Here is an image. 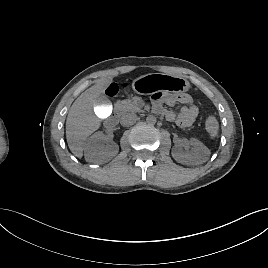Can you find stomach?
I'll return each instance as SVG.
<instances>
[{
    "label": "stomach",
    "instance_id": "1",
    "mask_svg": "<svg viewBox=\"0 0 268 268\" xmlns=\"http://www.w3.org/2000/svg\"><path fill=\"white\" fill-rule=\"evenodd\" d=\"M132 89L140 95L160 91L184 93L190 89V84L185 78L180 76L165 73H149L136 78L132 83Z\"/></svg>",
    "mask_w": 268,
    "mask_h": 268
}]
</instances>
